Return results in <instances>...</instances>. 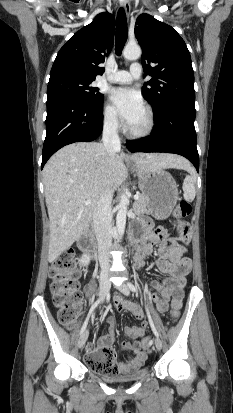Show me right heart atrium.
<instances>
[{
    "label": "right heart atrium",
    "mask_w": 233,
    "mask_h": 413,
    "mask_svg": "<svg viewBox=\"0 0 233 413\" xmlns=\"http://www.w3.org/2000/svg\"><path fill=\"white\" fill-rule=\"evenodd\" d=\"M103 123L108 129L113 131L121 128L119 117L114 108L109 104H106L103 109Z\"/></svg>",
    "instance_id": "d8ad5b80"
}]
</instances>
